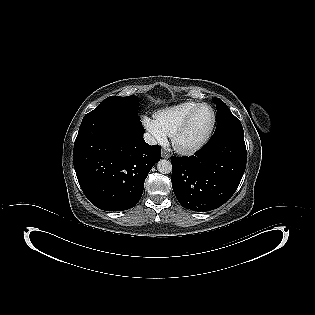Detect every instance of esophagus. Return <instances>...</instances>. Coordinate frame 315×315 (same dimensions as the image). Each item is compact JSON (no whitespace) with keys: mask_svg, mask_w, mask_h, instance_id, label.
Instances as JSON below:
<instances>
[{"mask_svg":"<svg viewBox=\"0 0 315 315\" xmlns=\"http://www.w3.org/2000/svg\"><path fill=\"white\" fill-rule=\"evenodd\" d=\"M162 157L168 159L170 158V154L167 153L166 151H162Z\"/></svg>","mask_w":315,"mask_h":315,"instance_id":"34e87169","label":"esophagus"}]
</instances>
